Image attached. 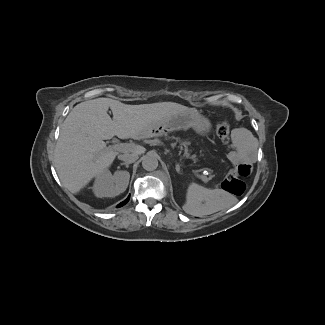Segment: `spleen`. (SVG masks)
<instances>
[{
    "mask_svg": "<svg viewBox=\"0 0 325 325\" xmlns=\"http://www.w3.org/2000/svg\"><path fill=\"white\" fill-rule=\"evenodd\" d=\"M233 204L231 196L223 190L207 189L191 183L186 192L183 209L193 216H204L226 209Z\"/></svg>",
    "mask_w": 325,
    "mask_h": 325,
    "instance_id": "3e777b00",
    "label": "spleen"
}]
</instances>
